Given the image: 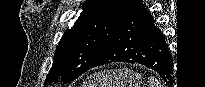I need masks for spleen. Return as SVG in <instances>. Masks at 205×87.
<instances>
[{
  "mask_svg": "<svg viewBox=\"0 0 205 87\" xmlns=\"http://www.w3.org/2000/svg\"><path fill=\"white\" fill-rule=\"evenodd\" d=\"M148 86L149 87H162L161 83L154 76H150L148 78Z\"/></svg>",
  "mask_w": 205,
  "mask_h": 87,
  "instance_id": "spleen-1",
  "label": "spleen"
}]
</instances>
